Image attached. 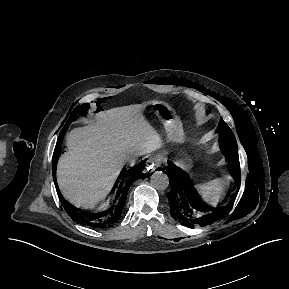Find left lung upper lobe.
<instances>
[{"mask_svg": "<svg viewBox=\"0 0 289 289\" xmlns=\"http://www.w3.org/2000/svg\"><path fill=\"white\" fill-rule=\"evenodd\" d=\"M220 134L219 140L220 145L223 148L227 149V160L234 162L235 164L239 163L238 151L234 141L233 134L231 129L225 122L221 119L218 128L216 130Z\"/></svg>", "mask_w": 289, "mask_h": 289, "instance_id": "5c2ea615", "label": "left lung upper lobe"}]
</instances>
